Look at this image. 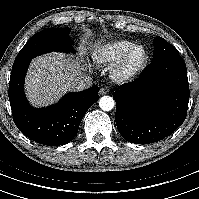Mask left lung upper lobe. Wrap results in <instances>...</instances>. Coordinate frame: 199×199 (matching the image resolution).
Returning <instances> with one entry per match:
<instances>
[{"label": "left lung upper lobe", "instance_id": "1", "mask_svg": "<svg viewBox=\"0 0 199 199\" xmlns=\"http://www.w3.org/2000/svg\"><path fill=\"white\" fill-rule=\"evenodd\" d=\"M172 54H179V52L174 46L169 44L165 39L158 36L154 41L153 60Z\"/></svg>", "mask_w": 199, "mask_h": 199}]
</instances>
